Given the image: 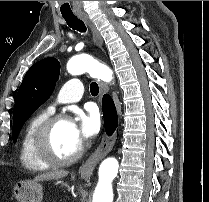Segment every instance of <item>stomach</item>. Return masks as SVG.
Instances as JSON below:
<instances>
[{
    "mask_svg": "<svg viewBox=\"0 0 209 202\" xmlns=\"http://www.w3.org/2000/svg\"><path fill=\"white\" fill-rule=\"evenodd\" d=\"M13 196L17 202H42V186L36 181H19L13 187Z\"/></svg>",
    "mask_w": 209,
    "mask_h": 202,
    "instance_id": "obj_1",
    "label": "stomach"
}]
</instances>
